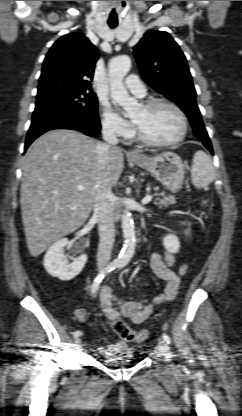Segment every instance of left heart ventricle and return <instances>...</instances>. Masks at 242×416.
<instances>
[{"mask_svg": "<svg viewBox=\"0 0 242 416\" xmlns=\"http://www.w3.org/2000/svg\"><path fill=\"white\" fill-rule=\"evenodd\" d=\"M132 121L151 140L168 141L176 138L181 131V121L171 108L159 106L151 110L140 107Z\"/></svg>", "mask_w": 242, "mask_h": 416, "instance_id": "obj_1", "label": "left heart ventricle"}]
</instances>
